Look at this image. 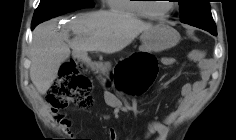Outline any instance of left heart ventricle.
I'll return each instance as SVG.
<instances>
[{"label":"left heart ventricle","mask_w":236,"mask_h":140,"mask_svg":"<svg viewBox=\"0 0 236 140\" xmlns=\"http://www.w3.org/2000/svg\"><path fill=\"white\" fill-rule=\"evenodd\" d=\"M149 7L152 12L161 14L166 12L171 7V2L164 0H152Z\"/></svg>","instance_id":"b2bd125f"}]
</instances>
